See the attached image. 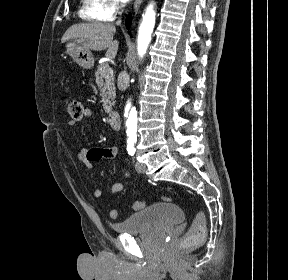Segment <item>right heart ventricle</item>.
Returning <instances> with one entry per match:
<instances>
[{
  "label": "right heart ventricle",
  "mask_w": 288,
  "mask_h": 280,
  "mask_svg": "<svg viewBox=\"0 0 288 280\" xmlns=\"http://www.w3.org/2000/svg\"><path fill=\"white\" fill-rule=\"evenodd\" d=\"M101 0H81L79 16L87 21H102Z\"/></svg>",
  "instance_id": "right-heart-ventricle-1"
}]
</instances>
